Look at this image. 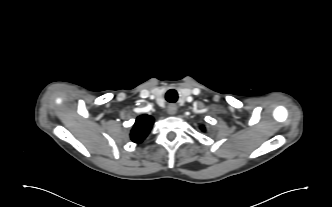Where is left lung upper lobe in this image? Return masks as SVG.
I'll return each mask as SVG.
<instances>
[{
	"mask_svg": "<svg viewBox=\"0 0 332 207\" xmlns=\"http://www.w3.org/2000/svg\"><path fill=\"white\" fill-rule=\"evenodd\" d=\"M201 130H202V131H205V128H204V127H201Z\"/></svg>",
	"mask_w": 332,
	"mask_h": 207,
	"instance_id": "5c2ea615",
	"label": "left lung upper lobe"
}]
</instances>
